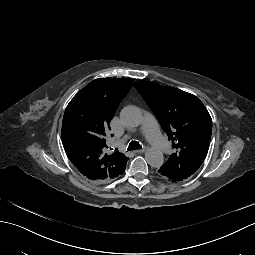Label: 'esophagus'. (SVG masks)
<instances>
[{
	"mask_svg": "<svg viewBox=\"0 0 255 255\" xmlns=\"http://www.w3.org/2000/svg\"><path fill=\"white\" fill-rule=\"evenodd\" d=\"M134 152H135V153H143V152H145V149L135 150Z\"/></svg>",
	"mask_w": 255,
	"mask_h": 255,
	"instance_id": "34e87169",
	"label": "esophagus"
}]
</instances>
